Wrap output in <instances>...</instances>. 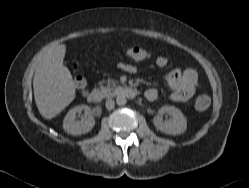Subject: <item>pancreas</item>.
<instances>
[{"mask_svg":"<svg viewBox=\"0 0 249 188\" xmlns=\"http://www.w3.org/2000/svg\"><path fill=\"white\" fill-rule=\"evenodd\" d=\"M116 85H117L116 81L107 80L100 82L99 88L106 96H112Z\"/></svg>","mask_w":249,"mask_h":188,"instance_id":"1","label":"pancreas"}]
</instances>
